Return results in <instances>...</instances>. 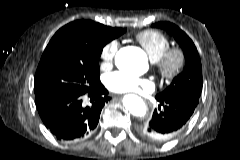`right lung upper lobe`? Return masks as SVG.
<instances>
[{"label": "right lung upper lobe", "mask_w": 240, "mask_h": 160, "mask_svg": "<svg viewBox=\"0 0 240 160\" xmlns=\"http://www.w3.org/2000/svg\"><path fill=\"white\" fill-rule=\"evenodd\" d=\"M89 23H91L93 26H94V29H97V30H101V31H105V30H114L115 28H111V27H107V26H104L102 24H99V23H95L93 21H87Z\"/></svg>", "instance_id": "1"}]
</instances>
